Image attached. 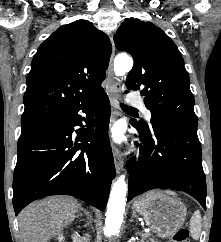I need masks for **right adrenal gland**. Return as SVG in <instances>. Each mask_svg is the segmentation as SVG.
<instances>
[{
  "mask_svg": "<svg viewBox=\"0 0 221 242\" xmlns=\"http://www.w3.org/2000/svg\"><path fill=\"white\" fill-rule=\"evenodd\" d=\"M78 216H86L87 220L83 219V221L85 222V226H89L92 216L90 215V212L88 210H86L85 208H83L81 205L79 207Z\"/></svg>",
  "mask_w": 221,
  "mask_h": 242,
  "instance_id": "2a0ac1e0",
  "label": "right adrenal gland"
}]
</instances>
